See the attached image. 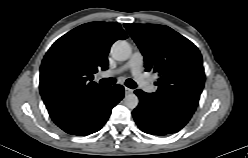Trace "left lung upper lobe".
I'll return each instance as SVG.
<instances>
[{
    "mask_svg": "<svg viewBox=\"0 0 248 158\" xmlns=\"http://www.w3.org/2000/svg\"><path fill=\"white\" fill-rule=\"evenodd\" d=\"M140 48L146 71L159 75V103L193 114L204 88L205 73L198 48L173 29L155 24H124Z\"/></svg>",
    "mask_w": 248,
    "mask_h": 158,
    "instance_id": "left-lung-upper-lobe-1",
    "label": "left lung upper lobe"
}]
</instances>
